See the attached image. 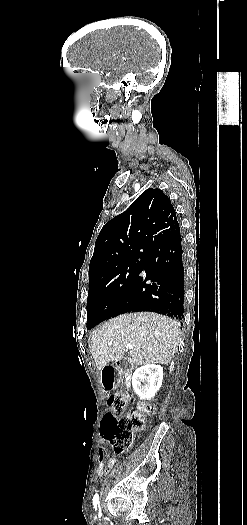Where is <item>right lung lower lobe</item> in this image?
Returning a JSON list of instances; mask_svg holds the SVG:
<instances>
[{
    "mask_svg": "<svg viewBox=\"0 0 247 525\" xmlns=\"http://www.w3.org/2000/svg\"><path fill=\"white\" fill-rule=\"evenodd\" d=\"M182 258V238L179 228L145 254L141 270L142 272L145 269V276H138L114 316L127 312L151 311L182 320L184 312Z\"/></svg>",
    "mask_w": 247,
    "mask_h": 525,
    "instance_id": "right-lung-lower-lobe-1",
    "label": "right lung lower lobe"
}]
</instances>
